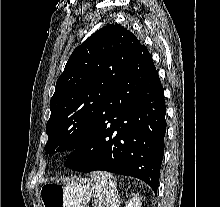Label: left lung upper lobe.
Listing matches in <instances>:
<instances>
[{"mask_svg": "<svg viewBox=\"0 0 220 207\" xmlns=\"http://www.w3.org/2000/svg\"><path fill=\"white\" fill-rule=\"evenodd\" d=\"M140 45L126 28L110 24L73 51L50 101L48 153L72 150L86 139Z\"/></svg>", "mask_w": 220, "mask_h": 207, "instance_id": "5c2ea615", "label": "left lung upper lobe"}]
</instances>
